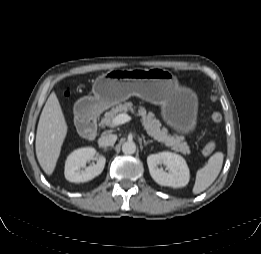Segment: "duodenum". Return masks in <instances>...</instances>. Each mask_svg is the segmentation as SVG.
<instances>
[{
  "instance_id": "1",
  "label": "duodenum",
  "mask_w": 261,
  "mask_h": 254,
  "mask_svg": "<svg viewBox=\"0 0 261 254\" xmlns=\"http://www.w3.org/2000/svg\"><path fill=\"white\" fill-rule=\"evenodd\" d=\"M96 108L86 102L77 107L76 125L81 135L87 140H93L98 132Z\"/></svg>"
}]
</instances>
